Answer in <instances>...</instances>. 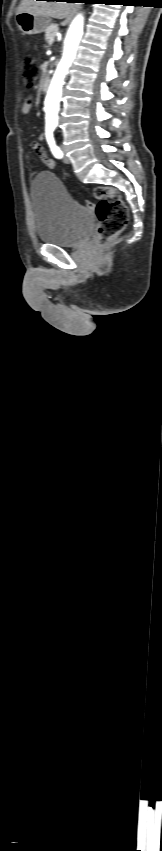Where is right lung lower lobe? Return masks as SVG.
Returning <instances> with one entry per match:
<instances>
[{"label": "right lung lower lobe", "instance_id": "98d812e1", "mask_svg": "<svg viewBox=\"0 0 162 851\" xmlns=\"http://www.w3.org/2000/svg\"><path fill=\"white\" fill-rule=\"evenodd\" d=\"M47 1H58V0H47ZM64 1H66V2H75V3H77V2H83V3H86V4H92V3H95V0H64Z\"/></svg>", "mask_w": 162, "mask_h": 851}]
</instances>
